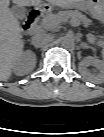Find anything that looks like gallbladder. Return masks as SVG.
<instances>
[{
	"mask_svg": "<svg viewBox=\"0 0 104 137\" xmlns=\"http://www.w3.org/2000/svg\"><path fill=\"white\" fill-rule=\"evenodd\" d=\"M11 12L14 14L16 18L23 19L27 14V10L24 7L13 6L11 8Z\"/></svg>",
	"mask_w": 104,
	"mask_h": 137,
	"instance_id": "gallbladder-1",
	"label": "gallbladder"
}]
</instances>
